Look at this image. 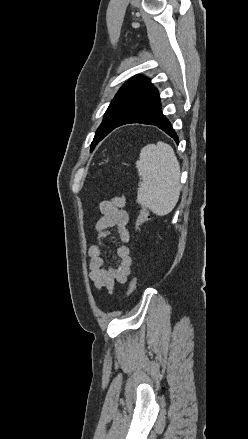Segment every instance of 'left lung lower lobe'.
I'll return each mask as SVG.
<instances>
[{"label": "left lung lower lobe", "mask_w": 248, "mask_h": 439, "mask_svg": "<svg viewBox=\"0 0 248 439\" xmlns=\"http://www.w3.org/2000/svg\"><path fill=\"white\" fill-rule=\"evenodd\" d=\"M128 123H141L157 126L171 136L177 144L179 143L178 136L172 128L171 123L161 111L159 93L155 87H153L152 90L138 103V105L113 129Z\"/></svg>", "instance_id": "0a47b994"}]
</instances>
